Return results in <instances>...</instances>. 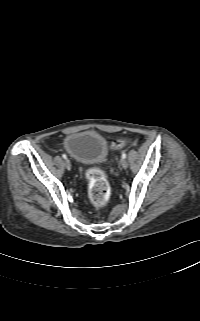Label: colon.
<instances>
[{"mask_svg":"<svg viewBox=\"0 0 200 321\" xmlns=\"http://www.w3.org/2000/svg\"><path fill=\"white\" fill-rule=\"evenodd\" d=\"M129 144L127 140H116L113 146L116 149H121ZM86 178L91 202L97 207L106 205L110 198L111 189L104 173L100 169L91 168L87 171Z\"/></svg>","mask_w":200,"mask_h":321,"instance_id":"1","label":"colon"}]
</instances>
